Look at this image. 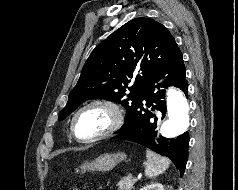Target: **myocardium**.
Instances as JSON below:
<instances>
[{
  "label": "myocardium",
  "mask_w": 238,
  "mask_h": 190,
  "mask_svg": "<svg viewBox=\"0 0 238 190\" xmlns=\"http://www.w3.org/2000/svg\"><path fill=\"white\" fill-rule=\"evenodd\" d=\"M92 108H101L107 111L110 116V123L103 131L93 136L81 137L78 135L76 131V121L83 112ZM123 122H124L123 110L116 102L108 99H95L85 103L79 109H77V111L74 113L72 117L70 128L76 140L84 143H91L111 136L118 129H120Z\"/></svg>",
  "instance_id": "obj_1"
}]
</instances>
